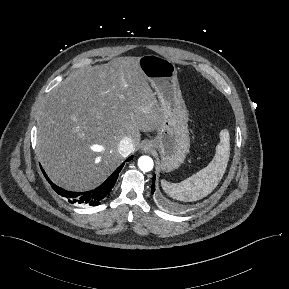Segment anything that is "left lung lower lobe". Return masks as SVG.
<instances>
[{
  "label": "left lung lower lobe",
  "instance_id": "obj_1",
  "mask_svg": "<svg viewBox=\"0 0 289 289\" xmlns=\"http://www.w3.org/2000/svg\"><path fill=\"white\" fill-rule=\"evenodd\" d=\"M155 178L156 176L153 177V181H152V193H154L155 191Z\"/></svg>",
  "mask_w": 289,
  "mask_h": 289
}]
</instances>
